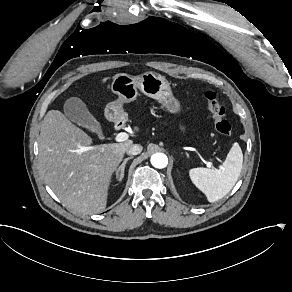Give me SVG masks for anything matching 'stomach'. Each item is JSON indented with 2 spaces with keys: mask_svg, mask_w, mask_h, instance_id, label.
Here are the masks:
<instances>
[{
  "mask_svg": "<svg viewBox=\"0 0 292 292\" xmlns=\"http://www.w3.org/2000/svg\"><path fill=\"white\" fill-rule=\"evenodd\" d=\"M137 88L146 96L157 100L165 112L175 116L181 115L182 103L173 95L167 79L156 72H146L135 79L127 74H119L113 80L112 90L119 95V100L110 103L106 107L105 114L107 119L118 121L123 117L122 103L135 100ZM178 130L182 136H185L187 126L182 121H179Z\"/></svg>",
  "mask_w": 292,
  "mask_h": 292,
  "instance_id": "obj_1",
  "label": "stomach"
}]
</instances>
